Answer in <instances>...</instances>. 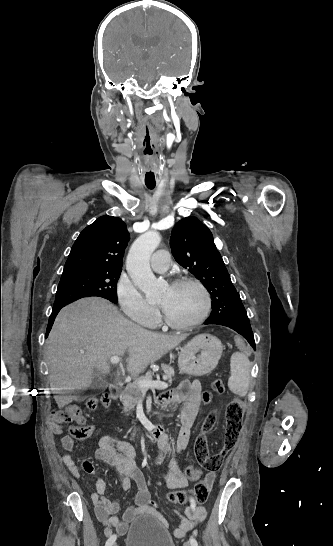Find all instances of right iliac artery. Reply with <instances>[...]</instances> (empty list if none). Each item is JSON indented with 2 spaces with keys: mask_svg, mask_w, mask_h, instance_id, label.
Listing matches in <instances>:
<instances>
[{
  "mask_svg": "<svg viewBox=\"0 0 333 546\" xmlns=\"http://www.w3.org/2000/svg\"><path fill=\"white\" fill-rule=\"evenodd\" d=\"M116 535H111L109 539L106 541L105 546H113L114 542L116 541Z\"/></svg>",
  "mask_w": 333,
  "mask_h": 546,
  "instance_id": "obj_1",
  "label": "right iliac artery"
}]
</instances>
